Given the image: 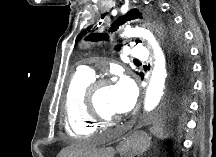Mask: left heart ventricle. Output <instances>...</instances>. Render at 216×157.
<instances>
[{"label":"left heart ventricle","instance_id":"obj_1","mask_svg":"<svg viewBox=\"0 0 216 157\" xmlns=\"http://www.w3.org/2000/svg\"><path fill=\"white\" fill-rule=\"evenodd\" d=\"M95 100L98 110L102 115L111 118L120 117L121 113L116 112L111 105V91L109 86L99 90Z\"/></svg>","mask_w":216,"mask_h":157}]
</instances>
